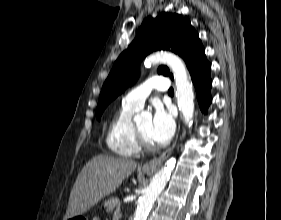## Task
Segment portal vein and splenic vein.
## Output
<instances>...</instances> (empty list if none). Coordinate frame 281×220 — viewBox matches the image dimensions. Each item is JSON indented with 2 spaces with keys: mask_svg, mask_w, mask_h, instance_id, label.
Instances as JSON below:
<instances>
[{
  "mask_svg": "<svg viewBox=\"0 0 281 220\" xmlns=\"http://www.w3.org/2000/svg\"><path fill=\"white\" fill-rule=\"evenodd\" d=\"M114 216H115V217H120V216H121L120 208H117V209L115 210Z\"/></svg>",
  "mask_w": 281,
  "mask_h": 220,
  "instance_id": "obj_1",
  "label": "portal vein and splenic vein"
}]
</instances>
